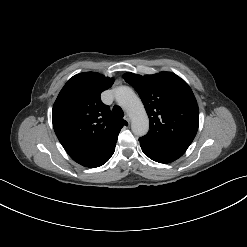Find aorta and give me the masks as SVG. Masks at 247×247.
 I'll list each match as a JSON object with an SVG mask.
<instances>
[{"instance_id":"aorta-1","label":"aorta","mask_w":247,"mask_h":247,"mask_svg":"<svg viewBox=\"0 0 247 247\" xmlns=\"http://www.w3.org/2000/svg\"><path fill=\"white\" fill-rule=\"evenodd\" d=\"M117 103L131 118V129L136 136H144L149 130V119L141 100L127 86L119 87L115 93Z\"/></svg>"}]
</instances>
